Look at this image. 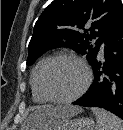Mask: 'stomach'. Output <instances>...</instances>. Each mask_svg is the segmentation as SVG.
<instances>
[{
  "instance_id": "stomach-1",
  "label": "stomach",
  "mask_w": 123,
  "mask_h": 130,
  "mask_svg": "<svg viewBox=\"0 0 123 130\" xmlns=\"http://www.w3.org/2000/svg\"><path fill=\"white\" fill-rule=\"evenodd\" d=\"M95 122L91 118L66 119L51 126L48 130H94ZM24 130H33L25 128Z\"/></svg>"
}]
</instances>
